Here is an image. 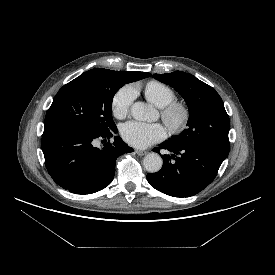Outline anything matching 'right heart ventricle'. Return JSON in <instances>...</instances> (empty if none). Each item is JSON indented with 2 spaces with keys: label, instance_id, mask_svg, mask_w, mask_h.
<instances>
[{
  "label": "right heart ventricle",
  "instance_id": "1",
  "mask_svg": "<svg viewBox=\"0 0 275 275\" xmlns=\"http://www.w3.org/2000/svg\"><path fill=\"white\" fill-rule=\"evenodd\" d=\"M144 94L149 102L159 108L166 106L176 98L175 91L169 85L157 80L146 84Z\"/></svg>",
  "mask_w": 275,
  "mask_h": 275
}]
</instances>
